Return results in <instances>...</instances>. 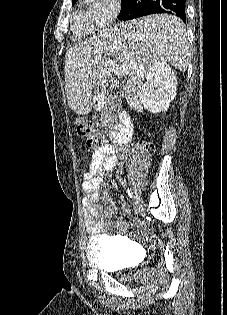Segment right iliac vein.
<instances>
[{
  "label": "right iliac vein",
  "instance_id": "63e3f726",
  "mask_svg": "<svg viewBox=\"0 0 227 315\" xmlns=\"http://www.w3.org/2000/svg\"><path fill=\"white\" fill-rule=\"evenodd\" d=\"M143 210V204H142V200L139 198L136 202H135V212L136 214L141 213Z\"/></svg>",
  "mask_w": 227,
  "mask_h": 315
}]
</instances>
